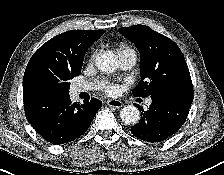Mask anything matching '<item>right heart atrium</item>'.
<instances>
[{
    "label": "right heart atrium",
    "mask_w": 224,
    "mask_h": 175,
    "mask_svg": "<svg viewBox=\"0 0 224 175\" xmlns=\"http://www.w3.org/2000/svg\"><path fill=\"white\" fill-rule=\"evenodd\" d=\"M95 58V54H92L91 57H90V61L92 62Z\"/></svg>",
    "instance_id": "right-heart-atrium-1"
}]
</instances>
